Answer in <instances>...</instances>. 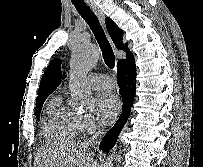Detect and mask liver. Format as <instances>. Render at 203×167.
<instances>
[{
	"label": "liver",
	"mask_w": 203,
	"mask_h": 167,
	"mask_svg": "<svg viewBox=\"0 0 203 167\" xmlns=\"http://www.w3.org/2000/svg\"><path fill=\"white\" fill-rule=\"evenodd\" d=\"M87 143H66L40 149L35 167H98Z\"/></svg>",
	"instance_id": "obj_1"
}]
</instances>
